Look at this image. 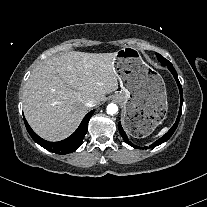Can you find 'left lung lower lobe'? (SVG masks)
I'll list each match as a JSON object with an SVG mask.
<instances>
[{"mask_svg": "<svg viewBox=\"0 0 207 207\" xmlns=\"http://www.w3.org/2000/svg\"><path fill=\"white\" fill-rule=\"evenodd\" d=\"M167 66H168V69L170 70V72L173 74V76H174V78H175V80L177 82L178 88H179V92H180V109H179V113H178V117L176 119V122L173 124V126L171 127V129L163 137H161L160 139H158L157 141H155L153 144H151L149 146V148L156 147V146H158V145L166 142L172 136V134L175 132V130H176L177 126H178V122L180 120V116H181L182 104H183L182 87H181V84L179 82V79H178V75L176 73V70L174 69V67L172 66V64L169 63V64H167ZM119 132H120L121 136L123 137V139L125 140V142L127 144H129L130 146H132L134 148H140V149H147L148 148V147H138V146L132 144L129 141L126 133L124 132V130H123L120 122H119Z\"/></svg>", "mask_w": 207, "mask_h": 207, "instance_id": "0a47b994", "label": "left lung lower lobe"}]
</instances>
